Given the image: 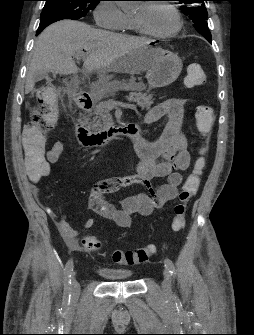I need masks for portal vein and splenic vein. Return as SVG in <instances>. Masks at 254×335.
Listing matches in <instances>:
<instances>
[{
  "label": "portal vein and splenic vein",
  "instance_id": "1",
  "mask_svg": "<svg viewBox=\"0 0 254 335\" xmlns=\"http://www.w3.org/2000/svg\"><path fill=\"white\" fill-rule=\"evenodd\" d=\"M85 56L84 53H77L75 55L76 59H82ZM108 108H114V107H124V108H130V109H135L136 105L135 104H129V103H123L119 101H114L110 100L106 102Z\"/></svg>",
  "mask_w": 254,
  "mask_h": 335
}]
</instances>
